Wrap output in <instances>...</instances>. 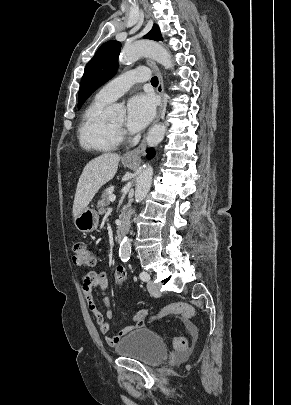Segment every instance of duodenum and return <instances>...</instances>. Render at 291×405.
<instances>
[{
	"label": "duodenum",
	"mask_w": 291,
	"mask_h": 405,
	"mask_svg": "<svg viewBox=\"0 0 291 405\" xmlns=\"http://www.w3.org/2000/svg\"><path fill=\"white\" fill-rule=\"evenodd\" d=\"M125 218H123V221H122V223H121V225L118 227V229H117V235H116V239H117V241L119 242L120 240H121V237H122V235H123V233H124V230H125Z\"/></svg>",
	"instance_id": "obj_1"
}]
</instances>
